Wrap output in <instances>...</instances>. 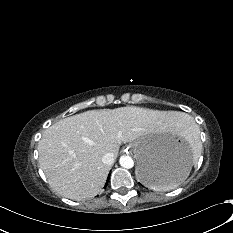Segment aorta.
I'll return each instance as SVG.
<instances>
[{
  "label": "aorta",
  "instance_id": "aorta-1",
  "mask_svg": "<svg viewBox=\"0 0 233 233\" xmlns=\"http://www.w3.org/2000/svg\"><path fill=\"white\" fill-rule=\"evenodd\" d=\"M119 163L123 168L130 169L134 166V161L130 156L123 155L119 159Z\"/></svg>",
  "mask_w": 233,
  "mask_h": 233
}]
</instances>
